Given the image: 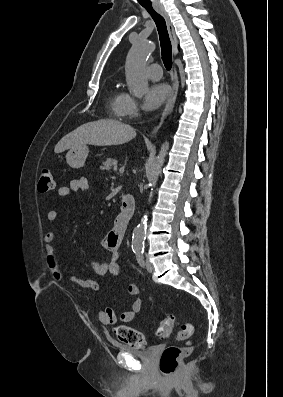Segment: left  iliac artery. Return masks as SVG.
Listing matches in <instances>:
<instances>
[{"label": "left iliac artery", "instance_id": "left-iliac-artery-1", "mask_svg": "<svg viewBox=\"0 0 283 397\" xmlns=\"http://www.w3.org/2000/svg\"><path fill=\"white\" fill-rule=\"evenodd\" d=\"M136 259L140 266L144 267V257H143V250L135 252Z\"/></svg>", "mask_w": 283, "mask_h": 397}]
</instances>
